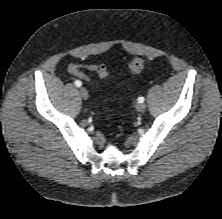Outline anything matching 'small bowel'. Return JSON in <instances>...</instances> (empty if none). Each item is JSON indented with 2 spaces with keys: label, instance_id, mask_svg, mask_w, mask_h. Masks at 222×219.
Returning a JSON list of instances; mask_svg holds the SVG:
<instances>
[{
  "label": "small bowel",
  "instance_id": "c3829d8e",
  "mask_svg": "<svg viewBox=\"0 0 222 219\" xmlns=\"http://www.w3.org/2000/svg\"><path fill=\"white\" fill-rule=\"evenodd\" d=\"M93 64H89V65H80V64H71L69 66V72L75 76V77H78L80 79H84V80H87L88 77L86 76V74L83 72V69L86 68L90 71H93L92 68H93Z\"/></svg>",
  "mask_w": 222,
  "mask_h": 219
}]
</instances>
